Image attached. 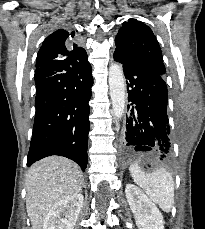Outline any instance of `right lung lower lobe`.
I'll return each mask as SVG.
<instances>
[{
    "mask_svg": "<svg viewBox=\"0 0 205 229\" xmlns=\"http://www.w3.org/2000/svg\"><path fill=\"white\" fill-rule=\"evenodd\" d=\"M36 113L27 166L46 156L60 155L85 171L92 68L72 70L56 60L35 70Z\"/></svg>",
    "mask_w": 205,
    "mask_h": 229,
    "instance_id": "right-lung-lower-lobe-1",
    "label": "right lung lower lobe"
}]
</instances>
